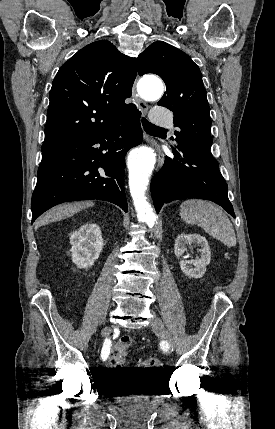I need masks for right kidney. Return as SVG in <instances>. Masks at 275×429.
<instances>
[{
	"label": "right kidney",
	"mask_w": 275,
	"mask_h": 429,
	"mask_svg": "<svg viewBox=\"0 0 275 429\" xmlns=\"http://www.w3.org/2000/svg\"><path fill=\"white\" fill-rule=\"evenodd\" d=\"M72 261L78 268L88 269L99 258L104 247L100 227L84 224L70 236Z\"/></svg>",
	"instance_id": "obj_1"
}]
</instances>
